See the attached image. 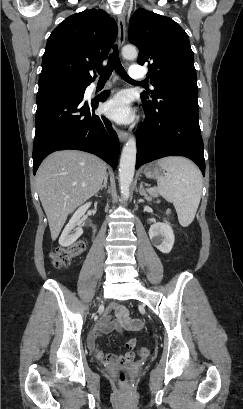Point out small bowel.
<instances>
[{"label":"small bowel","instance_id":"obj_1","mask_svg":"<svg viewBox=\"0 0 243 409\" xmlns=\"http://www.w3.org/2000/svg\"><path fill=\"white\" fill-rule=\"evenodd\" d=\"M141 327L142 321L140 319L129 318L126 307L123 304H112L104 311L103 316L91 333L88 339V347L99 361L107 365L116 362L128 363L134 358V348L136 346V340L134 338L129 339L125 343L127 352L120 356L105 354L100 349L97 338L102 334L110 333L112 331H117L119 334L123 335L128 331H138Z\"/></svg>","mask_w":243,"mask_h":409}]
</instances>
